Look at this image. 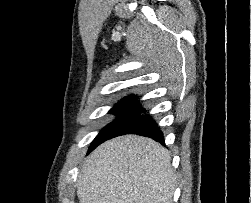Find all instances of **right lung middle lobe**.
<instances>
[{
  "label": "right lung middle lobe",
  "mask_w": 251,
  "mask_h": 203,
  "mask_svg": "<svg viewBox=\"0 0 251 203\" xmlns=\"http://www.w3.org/2000/svg\"><path fill=\"white\" fill-rule=\"evenodd\" d=\"M142 112L143 110L136 108H125V107L112 108L109 111V113L117 114L118 115L117 118L100 131V133L93 140L88 153H90L99 144L106 141L110 137V135L114 133L120 126L130 121L131 119L137 117Z\"/></svg>",
  "instance_id": "dd1d6c3e"
}]
</instances>
